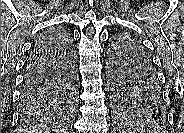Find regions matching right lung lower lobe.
I'll return each instance as SVG.
<instances>
[{
  "instance_id": "98d812e1",
  "label": "right lung lower lobe",
  "mask_w": 184,
  "mask_h": 133,
  "mask_svg": "<svg viewBox=\"0 0 184 133\" xmlns=\"http://www.w3.org/2000/svg\"><path fill=\"white\" fill-rule=\"evenodd\" d=\"M54 36L46 32L34 42L25 63L20 102H43L57 92L64 73L63 50L67 47Z\"/></svg>"
}]
</instances>
